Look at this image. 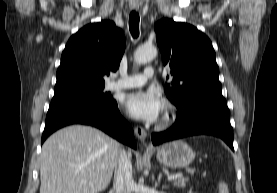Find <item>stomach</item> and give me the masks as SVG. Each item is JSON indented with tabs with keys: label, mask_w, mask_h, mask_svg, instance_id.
I'll use <instances>...</instances> for the list:
<instances>
[{
	"label": "stomach",
	"mask_w": 277,
	"mask_h": 193,
	"mask_svg": "<svg viewBox=\"0 0 277 193\" xmlns=\"http://www.w3.org/2000/svg\"><path fill=\"white\" fill-rule=\"evenodd\" d=\"M157 160L171 168H181L188 166L195 155L192 148L182 140H175L163 144L157 149Z\"/></svg>",
	"instance_id": "1"
}]
</instances>
